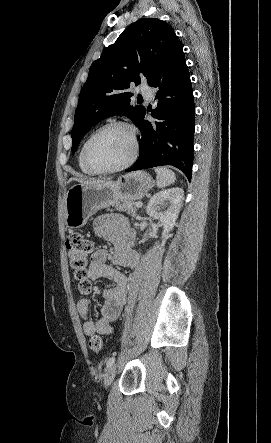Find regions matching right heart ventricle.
I'll return each mask as SVG.
<instances>
[{"label": "right heart ventricle", "mask_w": 271, "mask_h": 443, "mask_svg": "<svg viewBox=\"0 0 271 443\" xmlns=\"http://www.w3.org/2000/svg\"><path fill=\"white\" fill-rule=\"evenodd\" d=\"M90 136H91V134H89V135L83 140V142H82V144H81V146H80V148H79V151H78V154H77V166H78L79 170H80L83 174L88 175V176H94V175H96L97 173H95V172H93L92 170H90V169L85 165V163H84V161H83V148H84V145H85L86 141L88 140V138H89Z\"/></svg>", "instance_id": "right-heart-ventricle-1"}]
</instances>
